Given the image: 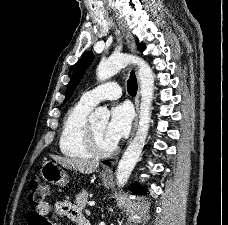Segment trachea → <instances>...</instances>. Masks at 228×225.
<instances>
[{
  "instance_id": "1",
  "label": "trachea",
  "mask_w": 228,
  "mask_h": 225,
  "mask_svg": "<svg viewBox=\"0 0 228 225\" xmlns=\"http://www.w3.org/2000/svg\"><path fill=\"white\" fill-rule=\"evenodd\" d=\"M127 90L130 95H135L137 93V80L133 71H131L129 80L127 82Z\"/></svg>"
}]
</instances>
